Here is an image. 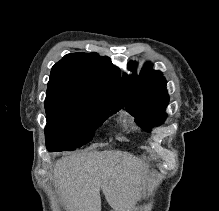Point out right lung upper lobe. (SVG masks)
<instances>
[{"label": "right lung upper lobe", "mask_w": 219, "mask_h": 211, "mask_svg": "<svg viewBox=\"0 0 219 211\" xmlns=\"http://www.w3.org/2000/svg\"><path fill=\"white\" fill-rule=\"evenodd\" d=\"M46 98L124 106L120 70L97 53L67 54L51 69Z\"/></svg>", "instance_id": "right-lung-upper-lobe-1"}]
</instances>
